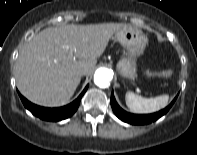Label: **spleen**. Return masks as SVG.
Returning <instances> with one entry per match:
<instances>
[{
  "label": "spleen",
  "mask_w": 197,
  "mask_h": 155,
  "mask_svg": "<svg viewBox=\"0 0 197 155\" xmlns=\"http://www.w3.org/2000/svg\"><path fill=\"white\" fill-rule=\"evenodd\" d=\"M169 96L167 94L157 96L155 98H143L133 92H127L125 101L127 107L135 113H152L156 112L168 103Z\"/></svg>",
  "instance_id": "3e777b00"
}]
</instances>
